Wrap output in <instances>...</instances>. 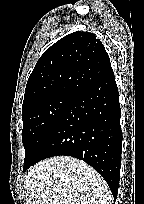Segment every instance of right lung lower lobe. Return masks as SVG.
Instances as JSON below:
<instances>
[{"mask_svg":"<svg viewBox=\"0 0 144 204\" xmlns=\"http://www.w3.org/2000/svg\"><path fill=\"white\" fill-rule=\"evenodd\" d=\"M120 115L113 73L75 95L35 163L58 155L81 159L101 174L116 199L122 149Z\"/></svg>","mask_w":144,"mask_h":204,"instance_id":"98d812e1","label":"right lung lower lobe"}]
</instances>
